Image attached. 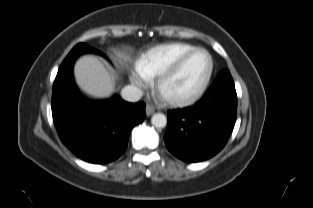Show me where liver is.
Instances as JSON below:
<instances>
[{
    "label": "liver",
    "mask_w": 313,
    "mask_h": 208,
    "mask_svg": "<svg viewBox=\"0 0 313 208\" xmlns=\"http://www.w3.org/2000/svg\"><path fill=\"white\" fill-rule=\"evenodd\" d=\"M124 60L128 56L119 54ZM75 77L80 88L93 97H109L115 90V79L98 58L85 55L79 58L74 68Z\"/></svg>",
    "instance_id": "1"
}]
</instances>
